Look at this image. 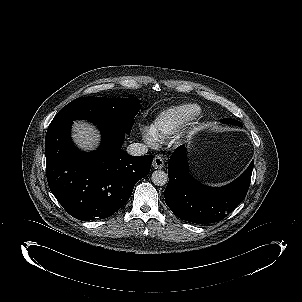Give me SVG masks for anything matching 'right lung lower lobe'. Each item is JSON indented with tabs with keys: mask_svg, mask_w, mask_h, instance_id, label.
<instances>
[{
	"mask_svg": "<svg viewBox=\"0 0 302 302\" xmlns=\"http://www.w3.org/2000/svg\"><path fill=\"white\" fill-rule=\"evenodd\" d=\"M93 123L102 133L94 152L75 147L70 138L72 121L49 126L45 139L49 188L62 207L82 221L108 218L124 206L153 161L152 155L133 157L121 149L126 135L122 129Z\"/></svg>",
	"mask_w": 302,
	"mask_h": 302,
	"instance_id": "1",
	"label": "right lung lower lobe"
}]
</instances>
